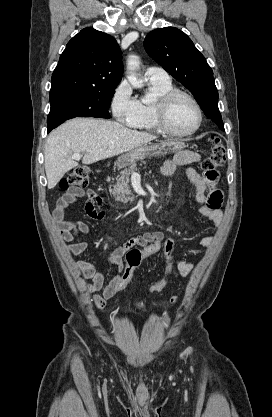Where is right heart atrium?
<instances>
[{
  "instance_id": "d8ad5b80",
  "label": "right heart atrium",
  "mask_w": 272,
  "mask_h": 417,
  "mask_svg": "<svg viewBox=\"0 0 272 417\" xmlns=\"http://www.w3.org/2000/svg\"><path fill=\"white\" fill-rule=\"evenodd\" d=\"M110 108L115 119L130 125L138 113V100L133 96L131 86L127 81L118 84L113 92Z\"/></svg>"
}]
</instances>
